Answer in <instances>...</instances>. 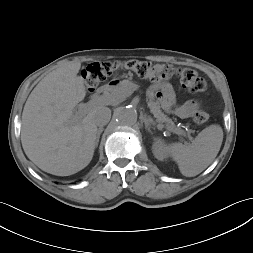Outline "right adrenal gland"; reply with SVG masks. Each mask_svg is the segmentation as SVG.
Segmentation results:
<instances>
[{
    "label": "right adrenal gland",
    "mask_w": 253,
    "mask_h": 253,
    "mask_svg": "<svg viewBox=\"0 0 253 253\" xmlns=\"http://www.w3.org/2000/svg\"><path fill=\"white\" fill-rule=\"evenodd\" d=\"M103 132V127H99L97 130L96 147L98 146L100 135Z\"/></svg>",
    "instance_id": "1"
}]
</instances>
